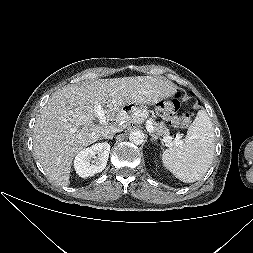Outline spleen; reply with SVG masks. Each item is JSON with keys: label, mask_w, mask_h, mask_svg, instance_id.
Instances as JSON below:
<instances>
[{"label": "spleen", "mask_w": 253, "mask_h": 253, "mask_svg": "<svg viewBox=\"0 0 253 253\" xmlns=\"http://www.w3.org/2000/svg\"><path fill=\"white\" fill-rule=\"evenodd\" d=\"M214 130L212 122L204 110L197 113L183 141L162 154L164 166L176 178L186 183L201 179L210 168L214 157Z\"/></svg>", "instance_id": "spleen-1"}]
</instances>
